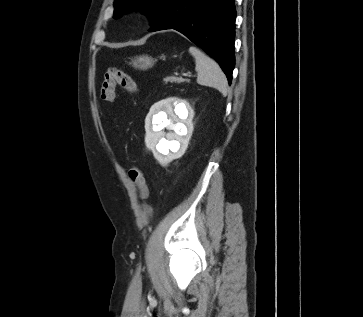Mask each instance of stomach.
Instances as JSON below:
<instances>
[{"mask_svg": "<svg viewBox=\"0 0 363 317\" xmlns=\"http://www.w3.org/2000/svg\"><path fill=\"white\" fill-rule=\"evenodd\" d=\"M153 64H154L153 59L147 55H142V56L136 57L134 60H132V65L135 68H138L141 70H146V69L152 67Z\"/></svg>", "mask_w": 363, "mask_h": 317, "instance_id": "0dacf381", "label": "stomach"}]
</instances>
